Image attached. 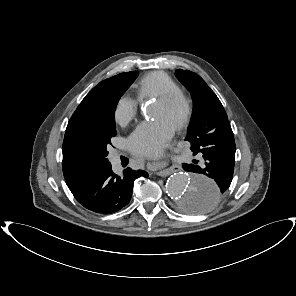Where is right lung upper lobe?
Segmentation results:
<instances>
[{
    "label": "right lung upper lobe",
    "instance_id": "1",
    "mask_svg": "<svg viewBox=\"0 0 296 296\" xmlns=\"http://www.w3.org/2000/svg\"><path fill=\"white\" fill-rule=\"evenodd\" d=\"M121 74L113 76L100 82L95 86L82 100L81 104L77 107L76 111L72 115L70 121L68 122L64 142L62 146L63 161L62 168L63 174L67 186L72 188L79 181L85 179L89 174H91L96 169L101 166H83L76 163L69 154V145L71 141L82 131L84 127V109L85 107L97 96L99 95L105 87L113 80L117 79Z\"/></svg>",
    "mask_w": 296,
    "mask_h": 296
}]
</instances>
